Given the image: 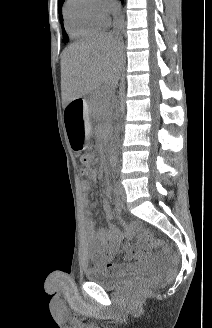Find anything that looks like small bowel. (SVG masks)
<instances>
[{"mask_svg": "<svg viewBox=\"0 0 212 328\" xmlns=\"http://www.w3.org/2000/svg\"><path fill=\"white\" fill-rule=\"evenodd\" d=\"M81 172V171H80ZM88 176L91 182L98 180V172L94 170L93 173H81ZM88 180H83L80 184L83 200L87 207L85 225L89 238L94 246V251L101 254L104 261L98 257L93 258V265L101 267L105 272L112 273H127L138 269L143 266L150 257L148 247L143 245L131 246L124 244L125 239L132 237L136 230L137 224L135 222H122L124 227L120 231L114 224H110L107 228H98L92 218V211L95 209V202L88 199V194L91 188V183ZM118 210L122 208L121 204L117 205ZM101 209L106 219L113 217L111 207L107 200L102 201ZM121 249L126 252L127 258H132L134 262L120 263L115 262L114 258L118 255Z\"/></svg>", "mask_w": 212, "mask_h": 328, "instance_id": "c3829d8e", "label": "small bowel"}]
</instances>
